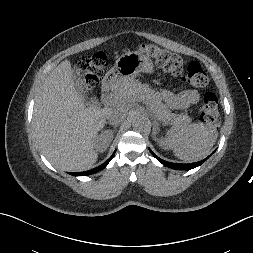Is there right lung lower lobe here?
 I'll return each mask as SVG.
<instances>
[{
    "mask_svg": "<svg viewBox=\"0 0 253 253\" xmlns=\"http://www.w3.org/2000/svg\"><path fill=\"white\" fill-rule=\"evenodd\" d=\"M114 154H115V152L113 153V155L105 163H103L102 165H100V166H98V167H96V168H94L92 170L85 171V172H79V173H69V174H71L73 176H86V175H90V174L96 173V172L104 169L107 166V164L113 158Z\"/></svg>",
    "mask_w": 253,
    "mask_h": 253,
    "instance_id": "obj_1",
    "label": "right lung lower lobe"
}]
</instances>
